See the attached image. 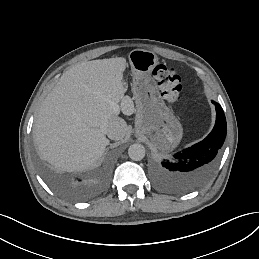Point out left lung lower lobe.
Listing matches in <instances>:
<instances>
[{
    "instance_id": "obj_1",
    "label": "left lung lower lobe",
    "mask_w": 259,
    "mask_h": 259,
    "mask_svg": "<svg viewBox=\"0 0 259 259\" xmlns=\"http://www.w3.org/2000/svg\"><path fill=\"white\" fill-rule=\"evenodd\" d=\"M216 108V123L201 142L174 155L172 161L163 159L154 168L156 181L172 190L190 188L207 178L216 168L220 149L225 141L227 125L222 107Z\"/></svg>"
}]
</instances>
